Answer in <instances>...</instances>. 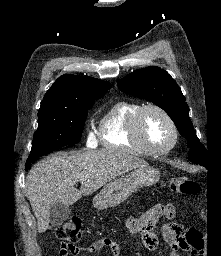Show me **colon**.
Returning <instances> with one entry per match:
<instances>
[{"label":"colon","mask_w":221,"mask_h":256,"mask_svg":"<svg viewBox=\"0 0 221 256\" xmlns=\"http://www.w3.org/2000/svg\"><path fill=\"white\" fill-rule=\"evenodd\" d=\"M171 189L179 194L195 195L199 191L196 181L188 177H175L170 183ZM55 237L61 243V252L75 255L78 252L76 244L81 239V221L70 217L55 229ZM186 249L190 256H204V239L200 231L190 229L186 234Z\"/></svg>","instance_id":"1"}]
</instances>
